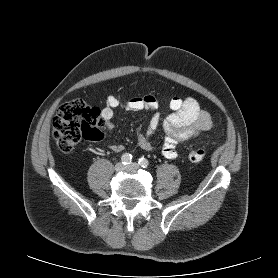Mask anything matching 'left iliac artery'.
Here are the masks:
<instances>
[{
    "mask_svg": "<svg viewBox=\"0 0 278 278\" xmlns=\"http://www.w3.org/2000/svg\"><path fill=\"white\" fill-rule=\"evenodd\" d=\"M138 163L143 168H146L149 165V161L144 157L139 158Z\"/></svg>",
    "mask_w": 278,
    "mask_h": 278,
    "instance_id": "left-iliac-artery-1",
    "label": "left iliac artery"
}]
</instances>
